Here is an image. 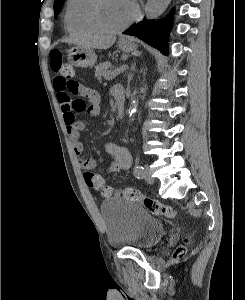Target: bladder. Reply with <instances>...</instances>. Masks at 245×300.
Returning <instances> with one entry per match:
<instances>
[{"instance_id":"31cf9c89","label":"bladder","mask_w":245,"mask_h":300,"mask_svg":"<svg viewBox=\"0 0 245 300\" xmlns=\"http://www.w3.org/2000/svg\"><path fill=\"white\" fill-rule=\"evenodd\" d=\"M100 210L108 244L113 248L147 250L157 245L164 234L162 222L134 201L109 198L102 202Z\"/></svg>"}]
</instances>
